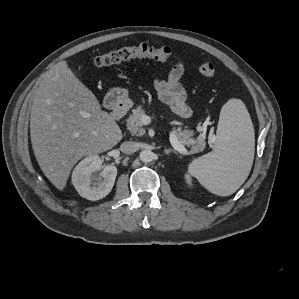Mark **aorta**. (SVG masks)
I'll use <instances>...</instances> for the list:
<instances>
[{"label":"aorta","mask_w":299,"mask_h":299,"mask_svg":"<svg viewBox=\"0 0 299 299\" xmlns=\"http://www.w3.org/2000/svg\"><path fill=\"white\" fill-rule=\"evenodd\" d=\"M139 157L142 162L149 163L154 160L155 154L151 150H142Z\"/></svg>","instance_id":"1"}]
</instances>
